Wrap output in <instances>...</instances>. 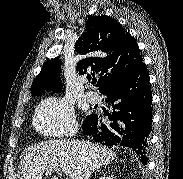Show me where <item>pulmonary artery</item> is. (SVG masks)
I'll list each match as a JSON object with an SVG mask.
<instances>
[{
  "instance_id": "obj_1",
  "label": "pulmonary artery",
  "mask_w": 183,
  "mask_h": 179,
  "mask_svg": "<svg viewBox=\"0 0 183 179\" xmlns=\"http://www.w3.org/2000/svg\"><path fill=\"white\" fill-rule=\"evenodd\" d=\"M88 100L92 103H98L101 101V96L97 93V92H94V91H89L87 94H86Z\"/></svg>"
}]
</instances>
